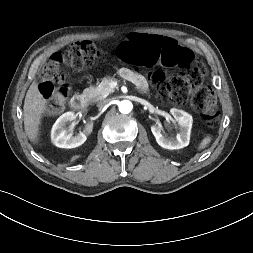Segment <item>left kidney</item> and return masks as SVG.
Returning <instances> with one entry per match:
<instances>
[{
    "label": "left kidney",
    "instance_id": "obj_1",
    "mask_svg": "<svg viewBox=\"0 0 253 253\" xmlns=\"http://www.w3.org/2000/svg\"><path fill=\"white\" fill-rule=\"evenodd\" d=\"M170 112L179 125V133L176 137L163 135L162 126L160 125H152L151 131L156 138V142L162 148L169 150L184 148L189 144L193 122L192 116L176 108L171 109Z\"/></svg>",
    "mask_w": 253,
    "mask_h": 253
}]
</instances>
